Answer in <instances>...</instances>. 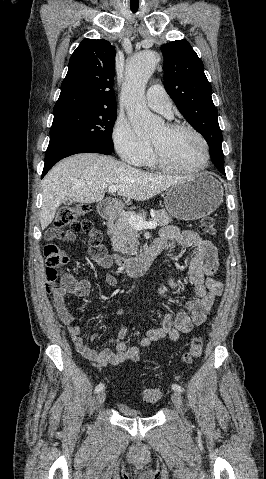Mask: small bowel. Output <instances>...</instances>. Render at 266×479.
Returning <instances> with one entry per match:
<instances>
[{
  "instance_id": "1",
  "label": "small bowel",
  "mask_w": 266,
  "mask_h": 479,
  "mask_svg": "<svg viewBox=\"0 0 266 479\" xmlns=\"http://www.w3.org/2000/svg\"><path fill=\"white\" fill-rule=\"evenodd\" d=\"M58 238L73 242L75 234L69 231H60ZM163 246L174 242L179 247L192 250L189 265V283L193 286V296L185 300V311L165 313L162 323L157 328L151 329L146 336L140 339L137 346H128L122 339L126 334V328L122 324L115 342V350L109 348H98L95 345H88L83 338V329L75 323L76 316L73 314L67 301L68 295H74L88 300L91 288L87 280L77 279L70 273H65L60 283L50 291L52 293V305L67 331L76 350L86 359L95 362L100 366L118 365L124 361L139 362L143 356V350L148 348L153 341L168 337L172 341H178L183 333H189L194 327L202 325L210 312L215 299L223 292V284L215 279L219 266L216 247L206 239H203L195 231H179L175 226H165L160 231L157 239ZM98 247L91 244V247ZM95 265L101 268H110L113 264L112 258L105 255L104 250L95 258H92ZM105 283L108 287H116L118 279L114 274L105 275ZM168 286L171 289H180V284L173 278H168ZM160 295H165V288H161ZM117 317L122 316L121 310H115ZM96 335L91 336L94 340Z\"/></svg>"
}]
</instances>
